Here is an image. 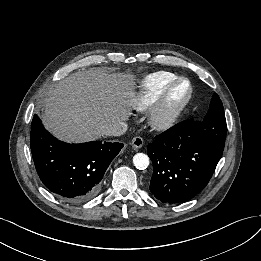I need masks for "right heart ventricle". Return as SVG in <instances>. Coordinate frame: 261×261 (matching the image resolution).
Returning a JSON list of instances; mask_svg holds the SVG:
<instances>
[{
    "label": "right heart ventricle",
    "mask_w": 261,
    "mask_h": 261,
    "mask_svg": "<svg viewBox=\"0 0 261 261\" xmlns=\"http://www.w3.org/2000/svg\"><path fill=\"white\" fill-rule=\"evenodd\" d=\"M175 73L159 71L146 75L139 82L133 107L139 112L151 110L167 86L177 78Z\"/></svg>",
    "instance_id": "obj_1"
}]
</instances>
